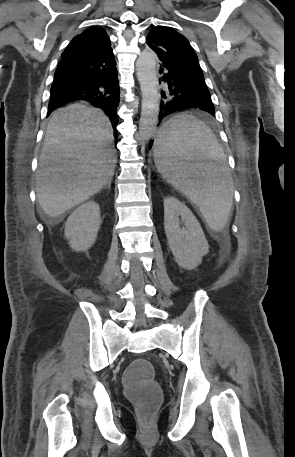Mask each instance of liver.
Here are the masks:
<instances>
[{"label": "liver", "instance_id": "obj_1", "mask_svg": "<svg viewBox=\"0 0 295 457\" xmlns=\"http://www.w3.org/2000/svg\"><path fill=\"white\" fill-rule=\"evenodd\" d=\"M113 130L98 108L80 103L51 117L36 172L37 200L56 218L97 194L112 180Z\"/></svg>", "mask_w": 295, "mask_h": 457}]
</instances>
